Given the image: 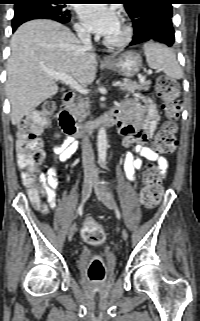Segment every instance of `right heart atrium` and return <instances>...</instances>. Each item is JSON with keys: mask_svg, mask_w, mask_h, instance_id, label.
<instances>
[{"mask_svg": "<svg viewBox=\"0 0 200 321\" xmlns=\"http://www.w3.org/2000/svg\"><path fill=\"white\" fill-rule=\"evenodd\" d=\"M75 28H76V31L79 35H82V36L87 35V30L85 29V27L82 24H80V23L76 24Z\"/></svg>", "mask_w": 200, "mask_h": 321, "instance_id": "1", "label": "right heart atrium"}]
</instances>
